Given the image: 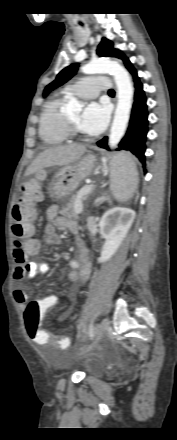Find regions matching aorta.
I'll list each match as a JSON object with an SVG mask.
<instances>
[{"mask_svg":"<svg viewBox=\"0 0 177 440\" xmlns=\"http://www.w3.org/2000/svg\"><path fill=\"white\" fill-rule=\"evenodd\" d=\"M84 74L111 73L117 85L118 103L110 130L109 146L115 148L122 139L130 116L133 100V85L128 72L115 61L93 59L81 67ZM81 104L76 98H70L67 104L69 113L79 112Z\"/></svg>","mask_w":177,"mask_h":440,"instance_id":"762f6f07","label":"aorta"}]
</instances>
